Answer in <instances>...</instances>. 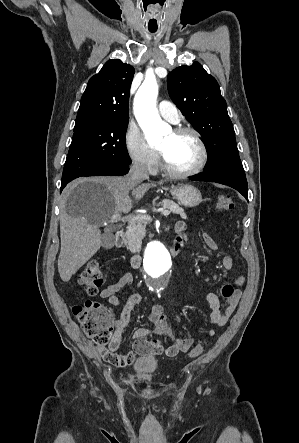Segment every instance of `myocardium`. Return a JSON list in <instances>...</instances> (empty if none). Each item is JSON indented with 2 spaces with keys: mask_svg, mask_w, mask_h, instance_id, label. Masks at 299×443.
Here are the masks:
<instances>
[{
  "mask_svg": "<svg viewBox=\"0 0 299 443\" xmlns=\"http://www.w3.org/2000/svg\"><path fill=\"white\" fill-rule=\"evenodd\" d=\"M173 133L175 135H181V134L192 135L198 145V148H199V159H198L197 163L195 164V166H193L192 168L185 170V171H178V170L172 169L166 163L162 153L160 151H158L161 169L167 175L174 177V178H187V177H191V176H194V175L200 173L204 169V167L207 163V159H208L207 148H206V145H205L200 133L196 129L189 127V126L177 127L173 130Z\"/></svg>",
  "mask_w": 299,
  "mask_h": 443,
  "instance_id": "f54148a6",
  "label": "myocardium"
}]
</instances>
